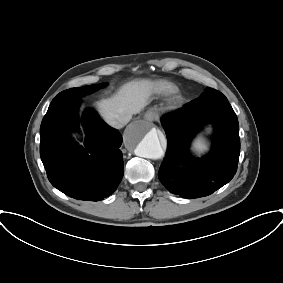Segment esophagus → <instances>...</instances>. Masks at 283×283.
I'll return each mask as SVG.
<instances>
[{
    "mask_svg": "<svg viewBox=\"0 0 283 283\" xmlns=\"http://www.w3.org/2000/svg\"><path fill=\"white\" fill-rule=\"evenodd\" d=\"M155 118H156V114L153 111H148L144 115V119L150 122L154 121Z\"/></svg>",
    "mask_w": 283,
    "mask_h": 283,
    "instance_id": "34e87169",
    "label": "esophagus"
}]
</instances>
